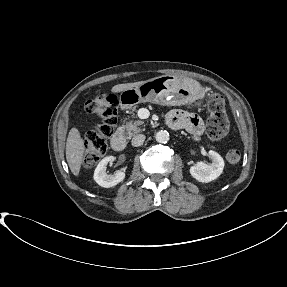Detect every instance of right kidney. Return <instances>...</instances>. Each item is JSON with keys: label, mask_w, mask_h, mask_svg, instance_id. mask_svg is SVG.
Wrapping results in <instances>:
<instances>
[{"label": "right kidney", "mask_w": 287, "mask_h": 287, "mask_svg": "<svg viewBox=\"0 0 287 287\" xmlns=\"http://www.w3.org/2000/svg\"><path fill=\"white\" fill-rule=\"evenodd\" d=\"M116 158L114 156H107L103 158L97 165L94 171V180L101 187L110 188L117 185L125 178V173L117 171L114 174H107L106 169L109 162H113Z\"/></svg>", "instance_id": "1"}]
</instances>
